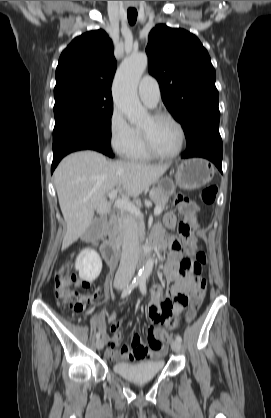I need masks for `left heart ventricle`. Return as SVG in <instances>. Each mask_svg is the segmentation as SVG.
I'll list each match as a JSON object with an SVG mask.
<instances>
[{
    "instance_id": "1",
    "label": "left heart ventricle",
    "mask_w": 271,
    "mask_h": 418,
    "mask_svg": "<svg viewBox=\"0 0 271 418\" xmlns=\"http://www.w3.org/2000/svg\"><path fill=\"white\" fill-rule=\"evenodd\" d=\"M141 128L148 132L152 145L158 152L170 154L178 148L180 134L171 121L167 119L153 120L148 117Z\"/></svg>"
}]
</instances>
